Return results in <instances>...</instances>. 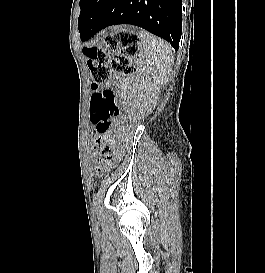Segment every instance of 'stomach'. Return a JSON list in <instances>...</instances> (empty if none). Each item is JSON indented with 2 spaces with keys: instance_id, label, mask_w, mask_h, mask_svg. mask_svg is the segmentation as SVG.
Instances as JSON below:
<instances>
[{
  "instance_id": "1",
  "label": "stomach",
  "mask_w": 265,
  "mask_h": 273,
  "mask_svg": "<svg viewBox=\"0 0 265 273\" xmlns=\"http://www.w3.org/2000/svg\"><path fill=\"white\" fill-rule=\"evenodd\" d=\"M118 30H135V25H118Z\"/></svg>"
}]
</instances>
